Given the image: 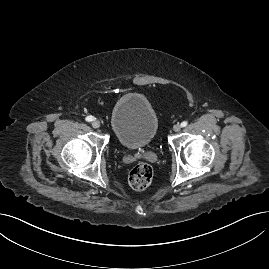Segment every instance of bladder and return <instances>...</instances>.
<instances>
[{
  "instance_id": "1",
  "label": "bladder",
  "mask_w": 269,
  "mask_h": 269,
  "mask_svg": "<svg viewBox=\"0 0 269 269\" xmlns=\"http://www.w3.org/2000/svg\"><path fill=\"white\" fill-rule=\"evenodd\" d=\"M110 126L118 143L127 149L148 146L159 128L157 113L141 93L123 95L114 104Z\"/></svg>"
}]
</instances>
